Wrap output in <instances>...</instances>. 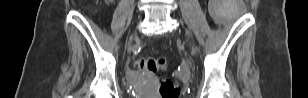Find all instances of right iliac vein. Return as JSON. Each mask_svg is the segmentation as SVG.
I'll return each mask as SVG.
<instances>
[{"mask_svg": "<svg viewBox=\"0 0 308 98\" xmlns=\"http://www.w3.org/2000/svg\"><path fill=\"white\" fill-rule=\"evenodd\" d=\"M136 36V32L134 33V35L131 37L130 42L133 40V38Z\"/></svg>", "mask_w": 308, "mask_h": 98, "instance_id": "obj_1", "label": "right iliac vein"}]
</instances>
